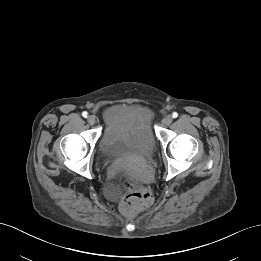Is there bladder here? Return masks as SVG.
Here are the masks:
<instances>
[{
	"label": "bladder",
	"mask_w": 261,
	"mask_h": 261,
	"mask_svg": "<svg viewBox=\"0 0 261 261\" xmlns=\"http://www.w3.org/2000/svg\"><path fill=\"white\" fill-rule=\"evenodd\" d=\"M129 112L135 105H122ZM156 149V139L150 125L141 120L137 127L125 126L122 129H106L99 140V150L106 160L150 157Z\"/></svg>",
	"instance_id": "obj_1"
}]
</instances>
